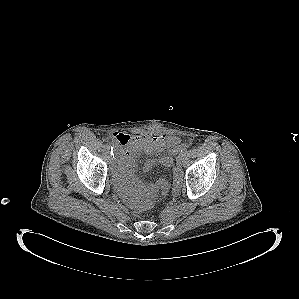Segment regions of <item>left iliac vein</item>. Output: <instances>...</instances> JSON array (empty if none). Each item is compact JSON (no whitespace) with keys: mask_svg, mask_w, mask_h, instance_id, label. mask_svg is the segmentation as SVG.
Listing matches in <instances>:
<instances>
[{"mask_svg":"<svg viewBox=\"0 0 299 299\" xmlns=\"http://www.w3.org/2000/svg\"><path fill=\"white\" fill-rule=\"evenodd\" d=\"M176 162H177V165H178V166L183 165V163H184V155H181V154H180V155L177 157Z\"/></svg>","mask_w":299,"mask_h":299,"instance_id":"obj_1","label":"left iliac vein"}]
</instances>
